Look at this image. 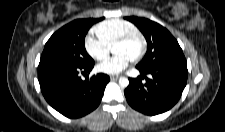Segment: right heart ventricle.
<instances>
[{"label":"right heart ventricle","mask_w":225,"mask_h":132,"mask_svg":"<svg viewBox=\"0 0 225 132\" xmlns=\"http://www.w3.org/2000/svg\"><path fill=\"white\" fill-rule=\"evenodd\" d=\"M135 30H137V27L133 23L123 19L106 20L94 29L98 38L109 48L113 47L119 37Z\"/></svg>","instance_id":"obj_1"}]
</instances>
